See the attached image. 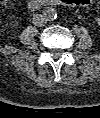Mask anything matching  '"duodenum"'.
Returning <instances> with one entry per match:
<instances>
[{
    "mask_svg": "<svg viewBox=\"0 0 100 118\" xmlns=\"http://www.w3.org/2000/svg\"><path fill=\"white\" fill-rule=\"evenodd\" d=\"M66 2L67 0H29L28 7L30 9H37L47 6L62 5Z\"/></svg>",
    "mask_w": 100,
    "mask_h": 118,
    "instance_id": "410a0bca",
    "label": "duodenum"
}]
</instances>
